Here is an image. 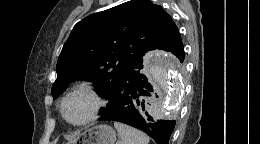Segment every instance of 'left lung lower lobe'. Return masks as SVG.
Instances as JSON below:
<instances>
[{
    "mask_svg": "<svg viewBox=\"0 0 260 144\" xmlns=\"http://www.w3.org/2000/svg\"><path fill=\"white\" fill-rule=\"evenodd\" d=\"M161 50L171 52L181 63L184 61V47L180 34ZM142 68V62H138L127 69L100 120L128 124L148 134L157 144H168L175 121L156 119L148 114V105L157 101L158 95L146 76L140 73Z\"/></svg>",
    "mask_w": 260,
    "mask_h": 144,
    "instance_id": "0a47b994",
    "label": "left lung lower lobe"
}]
</instances>
